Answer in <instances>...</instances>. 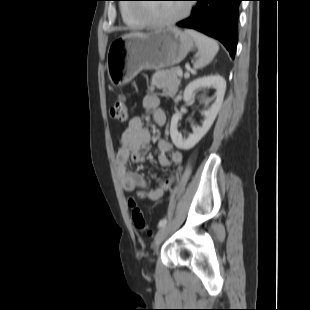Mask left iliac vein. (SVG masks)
<instances>
[{"label": "left iliac vein", "instance_id": "obj_1", "mask_svg": "<svg viewBox=\"0 0 310 310\" xmlns=\"http://www.w3.org/2000/svg\"><path fill=\"white\" fill-rule=\"evenodd\" d=\"M169 231H170V226L168 225H165L159 229L153 241L152 246L154 249H157L160 246V244L164 241V239L168 235Z\"/></svg>", "mask_w": 310, "mask_h": 310}]
</instances>
